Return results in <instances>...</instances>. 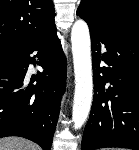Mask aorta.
<instances>
[{
	"mask_svg": "<svg viewBox=\"0 0 139 150\" xmlns=\"http://www.w3.org/2000/svg\"><path fill=\"white\" fill-rule=\"evenodd\" d=\"M71 42L75 73L72 120L74 128L79 129L89 115L93 97L91 41L88 25L84 20L79 19L73 24Z\"/></svg>",
	"mask_w": 139,
	"mask_h": 150,
	"instance_id": "1",
	"label": "aorta"
}]
</instances>
